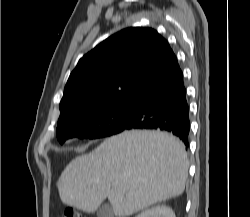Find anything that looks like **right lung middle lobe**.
Listing matches in <instances>:
<instances>
[{"instance_id":"dd1d6c3e","label":"right lung middle lobe","mask_w":250,"mask_h":217,"mask_svg":"<svg viewBox=\"0 0 250 217\" xmlns=\"http://www.w3.org/2000/svg\"><path fill=\"white\" fill-rule=\"evenodd\" d=\"M135 99L116 101L80 111L58 122L56 134L63 144L67 139H96L123 131L132 120Z\"/></svg>"}]
</instances>
